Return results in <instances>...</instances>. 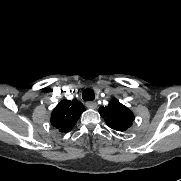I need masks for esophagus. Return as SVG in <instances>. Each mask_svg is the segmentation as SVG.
<instances>
[{
	"mask_svg": "<svg viewBox=\"0 0 181 181\" xmlns=\"http://www.w3.org/2000/svg\"><path fill=\"white\" fill-rule=\"evenodd\" d=\"M86 107L90 109H96L97 108V103L94 101H90L86 103Z\"/></svg>",
	"mask_w": 181,
	"mask_h": 181,
	"instance_id": "34e87169",
	"label": "esophagus"
}]
</instances>
